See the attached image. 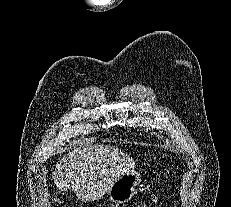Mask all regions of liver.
I'll use <instances>...</instances> for the list:
<instances>
[{
	"label": "liver",
	"instance_id": "1",
	"mask_svg": "<svg viewBox=\"0 0 231 207\" xmlns=\"http://www.w3.org/2000/svg\"><path fill=\"white\" fill-rule=\"evenodd\" d=\"M134 167L132 158L111 146L80 145L56 163L52 178L60 191L73 188L80 200L93 201L100 199L118 177Z\"/></svg>",
	"mask_w": 231,
	"mask_h": 207
}]
</instances>
